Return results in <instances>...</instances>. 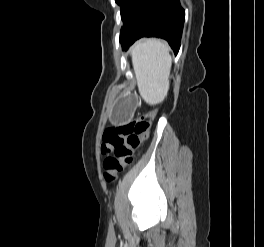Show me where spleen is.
<instances>
[{
	"label": "spleen",
	"mask_w": 264,
	"mask_h": 247,
	"mask_svg": "<svg viewBox=\"0 0 264 247\" xmlns=\"http://www.w3.org/2000/svg\"><path fill=\"white\" fill-rule=\"evenodd\" d=\"M132 63L141 96L151 103L163 101L172 65L169 47L156 39L143 40L132 49Z\"/></svg>",
	"instance_id": "3e777b00"
}]
</instances>
